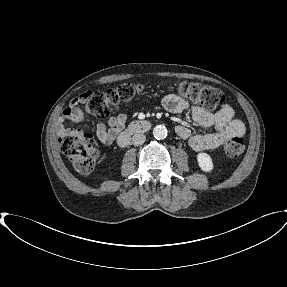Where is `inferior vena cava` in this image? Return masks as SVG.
Returning a JSON list of instances; mask_svg holds the SVG:
<instances>
[{
	"mask_svg": "<svg viewBox=\"0 0 287 287\" xmlns=\"http://www.w3.org/2000/svg\"><path fill=\"white\" fill-rule=\"evenodd\" d=\"M146 140V136L144 134H135L132 137V144L135 146L142 145Z\"/></svg>",
	"mask_w": 287,
	"mask_h": 287,
	"instance_id": "602c4592",
	"label": "inferior vena cava"
}]
</instances>
